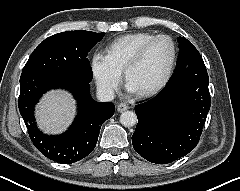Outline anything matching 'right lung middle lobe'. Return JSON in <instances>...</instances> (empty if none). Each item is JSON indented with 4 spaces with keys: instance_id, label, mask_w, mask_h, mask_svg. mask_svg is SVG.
Wrapping results in <instances>:
<instances>
[{
    "instance_id": "1",
    "label": "right lung middle lobe",
    "mask_w": 240,
    "mask_h": 191,
    "mask_svg": "<svg viewBox=\"0 0 240 191\" xmlns=\"http://www.w3.org/2000/svg\"><path fill=\"white\" fill-rule=\"evenodd\" d=\"M103 36V32L97 34L84 30L52 35L32 52L22 75L55 71L90 82L93 74L87 55Z\"/></svg>"
}]
</instances>
